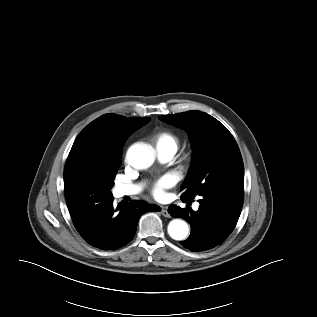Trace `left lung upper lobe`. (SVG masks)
<instances>
[{
	"label": "left lung upper lobe",
	"mask_w": 317,
	"mask_h": 317,
	"mask_svg": "<svg viewBox=\"0 0 317 317\" xmlns=\"http://www.w3.org/2000/svg\"><path fill=\"white\" fill-rule=\"evenodd\" d=\"M188 131L193 159L181 186V199H193L213 188L243 189L244 165L238 145L217 119L201 111L159 117Z\"/></svg>",
	"instance_id": "left-lung-upper-lobe-1"
}]
</instances>
